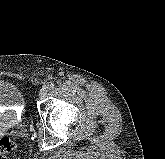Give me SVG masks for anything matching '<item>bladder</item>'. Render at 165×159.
Masks as SVG:
<instances>
[{
  "mask_svg": "<svg viewBox=\"0 0 165 159\" xmlns=\"http://www.w3.org/2000/svg\"><path fill=\"white\" fill-rule=\"evenodd\" d=\"M24 105L22 92L11 82L0 80V107H9L13 115H16L19 108ZM0 116H6L5 113ZM3 119L0 120V123Z\"/></svg>",
  "mask_w": 165,
  "mask_h": 159,
  "instance_id": "1",
  "label": "bladder"
}]
</instances>
